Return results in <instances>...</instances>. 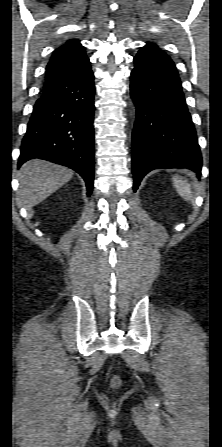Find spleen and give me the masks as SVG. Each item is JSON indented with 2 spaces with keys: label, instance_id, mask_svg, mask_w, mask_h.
<instances>
[{
  "label": "spleen",
  "instance_id": "3e777b00",
  "mask_svg": "<svg viewBox=\"0 0 222 447\" xmlns=\"http://www.w3.org/2000/svg\"><path fill=\"white\" fill-rule=\"evenodd\" d=\"M173 184L180 196L186 201H190L192 199V191L187 181L176 175L173 177Z\"/></svg>",
  "mask_w": 222,
  "mask_h": 447
}]
</instances>
